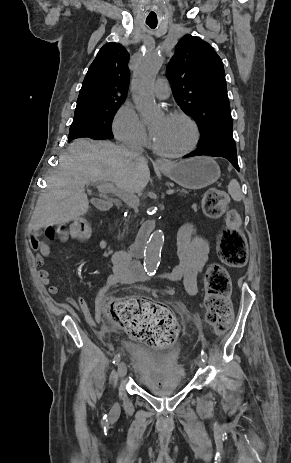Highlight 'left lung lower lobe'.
Wrapping results in <instances>:
<instances>
[{
    "mask_svg": "<svg viewBox=\"0 0 291 463\" xmlns=\"http://www.w3.org/2000/svg\"><path fill=\"white\" fill-rule=\"evenodd\" d=\"M201 155L226 158L239 171L236 151L222 150V149H203V148L198 147L194 152L188 154L185 157L201 156Z\"/></svg>",
    "mask_w": 291,
    "mask_h": 463,
    "instance_id": "1",
    "label": "left lung lower lobe"
}]
</instances>
